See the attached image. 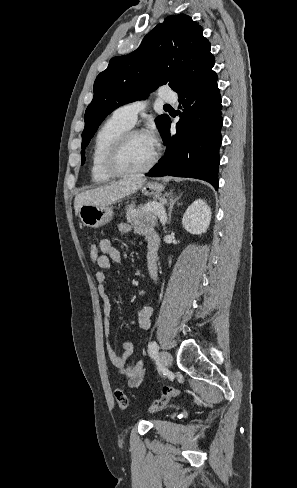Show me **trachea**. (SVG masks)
Listing matches in <instances>:
<instances>
[{
  "mask_svg": "<svg viewBox=\"0 0 297 488\" xmlns=\"http://www.w3.org/2000/svg\"><path fill=\"white\" fill-rule=\"evenodd\" d=\"M165 108L171 107L169 104L164 105Z\"/></svg>",
  "mask_w": 297,
  "mask_h": 488,
  "instance_id": "obj_1",
  "label": "trachea"
}]
</instances>
